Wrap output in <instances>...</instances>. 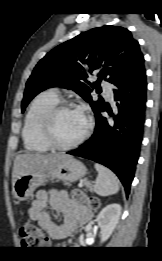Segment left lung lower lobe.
<instances>
[{"label":"left lung lower lobe","instance_id":"obj_1","mask_svg":"<svg viewBox=\"0 0 162 261\" xmlns=\"http://www.w3.org/2000/svg\"><path fill=\"white\" fill-rule=\"evenodd\" d=\"M117 111L103 107L95 113L93 135L80 148L67 152L103 164L122 182L126 196L134 178L138 162L146 111L147 81L144 60L115 84ZM107 111L112 117L101 116Z\"/></svg>","mask_w":162,"mask_h":261}]
</instances>
